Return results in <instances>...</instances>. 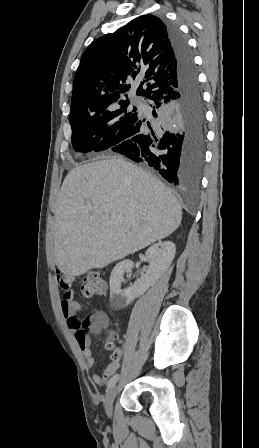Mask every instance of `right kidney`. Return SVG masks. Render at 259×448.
<instances>
[{"mask_svg":"<svg viewBox=\"0 0 259 448\" xmlns=\"http://www.w3.org/2000/svg\"><path fill=\"white\" fill-rule=\"evenodd\" d=\"M176 254V246L173 242H159L148 248L145 256L149 262V268L146 274L141 276L138 282H135L131 288L121 290L125 272L132 270L134 264L131 260H122L113 268L110 276V302L115 310H123L131 304L132 300L142 296L150 286H153L169 266H171Z\"/></svg>","mask_w":259,"mask_h":448,"instance_id":"obj_1","label":"right kidney"}]
</instances>
